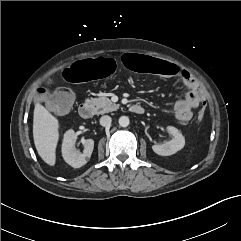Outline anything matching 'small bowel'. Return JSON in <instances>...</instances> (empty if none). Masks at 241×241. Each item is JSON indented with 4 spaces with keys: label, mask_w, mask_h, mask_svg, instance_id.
Returning a JSON list of instances; mask_svg holds the SVG:
<instances>
[{
    "label": "small bowel",
    "mask_w": 241,
    "mask_h": 241,
    "mask_svg": "<svg viewBox=\"0 0 241 241\" xmlns=\"http://www.w3.org/2000/svg\"><path fill=\"white\" fill-rule=\"evenodd\" d=\"M161 62L171 64L165 61ZM178 77L189 87L190 91L183 98L176 101L174 105L175 116L180 122H188L192 118V110L205 101V91L189 71L181 70Z\"/></svg>",
    "instance_id": "c3829d8e"
}]
</instances>
